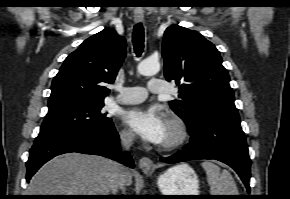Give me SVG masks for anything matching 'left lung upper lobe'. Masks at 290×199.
<instances>
[{
    "mask_svg": "<svg viewBox=\"0 0 290 199\" xmlns=\"http://www.w3.org/2000/svg\"><path fill=\"white\" fill-rule=\"evenodd\" d=\"M164 75L179 85L172 110L189 123L201 116L239 123L229 75L216 47L197 31L172 25L162 45Z\"/></svg>",
    "mask_w": 290,
    "mask_h": 199,
    "instance_id": "left-lung-upper-lobe-1",
    "label": "left lung upper lobe"
}]
</instances>
